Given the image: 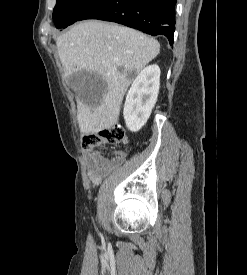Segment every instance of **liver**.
I'll list each match as a JSON object with an SVG mask.
<instances>
[{
  "label": "liver",
  "instance_id": "6515ba94",
  "mask_svg": "<svg viewBox=\"0 0 247 275\" xmlns=\"http://www.w3.org/2000/svg\"><path fill=\"white\" fill-rule=\"evenodd\" d=\"M56 45L66 78L86 71L96 73L105 83L103 94L97 92L87 101L77 100V121L83 134L98 133L118 122L131 75L160 51L154 38L97 20L75 25L58 37Z\"/></svg>",
  "mask_w": 247,
  "mask_h": 275
}]
</instances>
